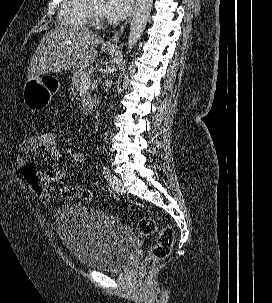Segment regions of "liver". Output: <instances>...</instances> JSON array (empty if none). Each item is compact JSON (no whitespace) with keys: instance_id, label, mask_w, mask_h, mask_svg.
I'll use <instances>...</instances> for the list:
<instances>
[{"instance_id":"liver-1","label":"liver","mask_w":272,"mask_h":303,"mask_svg":"<svg viewBox=\"0 0 272 303\" xmlns=\"http://www.w3.org/2000/svg\"><path fill=\"white\" fill-rule=\"evenodd\" d=\"M102 38L83 27H57L38 45L27 78L66 70L86 69L97 57Z\"/></svg>"}]
</instances>
